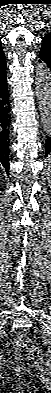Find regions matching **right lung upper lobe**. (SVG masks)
Listing matches in <instances>:
<instances>
[{"mask_svg":"<svg viewBox=\"0 0 51 393\" xmlns=\"http://www.w3.org/2000/svg\"><path fill=\"white\" fill-rule=\"evenodd\" d=\"M6 61H5V54L1 47V40H0V72L6 69Z\"/></svg>","mask_w":51,"mask_h":393,"instance_id":"obj_1","label":"right lung upper lobe"}]
</instances>
